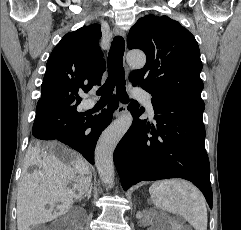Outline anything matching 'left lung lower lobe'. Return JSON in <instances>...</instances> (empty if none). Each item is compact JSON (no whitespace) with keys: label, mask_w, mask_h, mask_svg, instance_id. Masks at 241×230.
<instances>
[{"label":"left lung lower lobe","mask_w":241,"mask_h":230,"mask_svg":"<svg viewBox=\"0 0 241 230\" xmlns=\"http://www.w3.org/2000/svg\"><path fill=\"white\" fill-rule=\"evenodd\" d=\"M151 101L155 126L139 119L137 101L128 107L135 120L114 151L123 189L140 181L183 178L202 191L212 208L203 113L154 97Z\"/></svg>","instance_id":"obj_1"}]
</instances>
